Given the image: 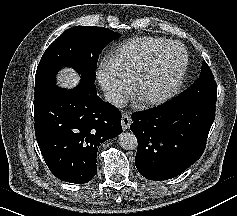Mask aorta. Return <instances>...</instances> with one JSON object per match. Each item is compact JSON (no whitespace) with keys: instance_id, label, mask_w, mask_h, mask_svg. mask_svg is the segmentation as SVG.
Listing matches in <instances>:
<instances>
[{"instance_id":"aorta-1","label":"aorta","mask_w":237,"mask_h":216,"mask_svg":"<svg viewBox=\"0 0 237 216\" xmlns=\"http://www.w3.org/2000/svg\"><path fill=\"white\" fill-rule=\"evenodd\" d=\"M118 141L124 150H135L138 147V140L133 132H122L118 136Z\"/></svg>"}]
</instances>
